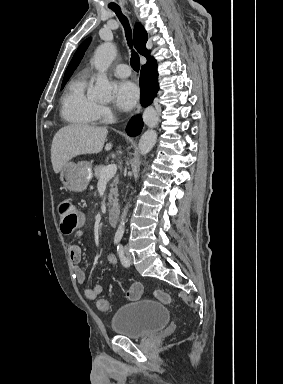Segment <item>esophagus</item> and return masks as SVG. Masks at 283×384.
Segmentation results:
<instances>
[{"mask_svg": "<svg viewBox=\"0 0 283 384\" xmlns=\"http://www.w3.org/2000/svg\"><path fill=\"white\" fill-rule=\"evenodd\" d=\"M140 110H141V105L139 104V105L137 106V109H136L135 113L138 114V113L140 112Z\"/></svg>", "mask_w": 283, "mask_h": 384, "instance_id": "esophagus-1", "label": "esophagus"}]
</instances>
